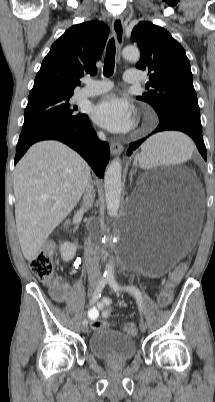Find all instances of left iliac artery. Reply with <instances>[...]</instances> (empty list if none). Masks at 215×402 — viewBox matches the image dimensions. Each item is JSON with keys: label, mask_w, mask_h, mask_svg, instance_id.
<instances>
[{"label": "left iliac artery", "mask_w": 215, "mask_h": 402, "mask_svg": "<svg viewBox=\"0 0 215 402\" xmlns=\"http://www.w3.org/2000/svg\"><path fill=\"white\" fill-rule=\"evenodd\" d=\"M108 283H109L110 287L115 291L124 290V291H127V292L131 293L132 295H134V297L136 298V301H137V304H138L140 312L143 311L142 294H141L140 290L137 287H135V286L121 287L117 283V281L115 280L114 277H109L108 278Z\"/></svg>", "instance_id": "44dca946"}]
</instances>
